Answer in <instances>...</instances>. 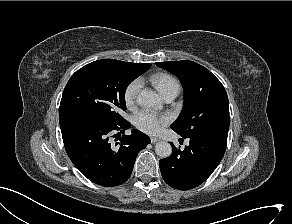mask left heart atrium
<instances>
[{"instance_id": "left-heart-atrium-1", "label": "left heart atrium", "mask_w": 292, "mask_h": 224, "mask_svg": "<svg viewBox=\"0 0 292 224\" xmlns=\"http://www.w3.org/2000/svg\"><path fill=\"white\" fill-rule=\"evenodd\" d=\"M168 123V118L165 116H158L155 113L142 110L138 112L134 117L135 126L146 133L155 134L158 133L163 126Z\"/></svg>"}]
</instances>
